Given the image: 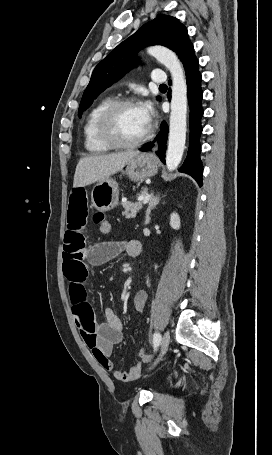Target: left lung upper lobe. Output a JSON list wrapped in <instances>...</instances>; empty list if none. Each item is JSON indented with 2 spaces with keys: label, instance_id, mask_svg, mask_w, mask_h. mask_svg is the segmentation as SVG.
Instances as JSON below:
<instances>
[{
  "label": "left lung upper lobe",
  "instance_id": "5c2ea615",
  "mask_svg": "<svg viewBox=\"0 0 272 455\" xmlns=\"http://www.w3.org/2000/svg\"><path fill=\"white\" fill-rule=\"evenodd\" d=\"M148 45H163L170 48L176 52L183 65L188 60L196 59L185 26L175 17L160 15L120 43L95 67L81 99L79 117L106 87L137 66L138 50Z\"/></svg>",
  "mask_w": 272,
  "mask_h": 455
}]
</instances>
